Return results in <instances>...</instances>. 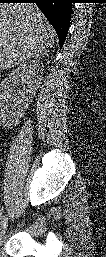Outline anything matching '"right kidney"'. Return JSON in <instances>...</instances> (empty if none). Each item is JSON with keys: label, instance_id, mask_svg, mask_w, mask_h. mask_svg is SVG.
<instances>
[{"label": "right kidney", "instance_id": "right-kidney-1", "mask_svg": "<svg viewBox=\"0 0 106 257\" xmlns=\"http://www.w3.org/2000/svg\"><path fill=\"white\" fill-rule=\"evenodd\" d=\"M42 72L39 61H28L20 64L1 81L0 111L4 118L17 122L22 117L41 82ZM16 87L22 88L15 90Z\"/></svg>", "mask_w": 106, "mask_h": 257}]
</instances>
